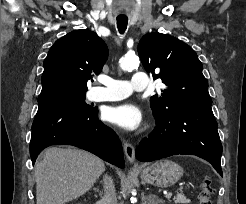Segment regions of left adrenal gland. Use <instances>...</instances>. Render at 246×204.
<instances>
[{
    "label": "left adrenal gland",
    "mask_w": 246,
    "mask_h": 204,
    "mask_svg": "<svg viewBox=\"0 0 246 204\" xmlns=\"http://www.w3.org/2000/svg\"><path fill=\"white\" fill-rule=\"evenodd\" d=\"M148 204H158V203H163L161 199H159L157 196H153V200L148 199Z\"/></svg>",
    "instance_id": "obj_1"
}]
</instances>
